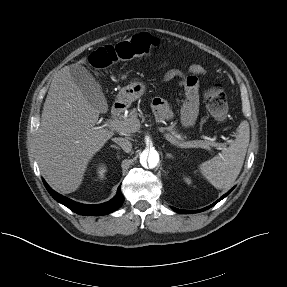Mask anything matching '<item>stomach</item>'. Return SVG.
<instances>
[{
	"mask_svg": "<svg viewBox=\"0 0 287 287\" xmlns=\"http://www.w3.org/2000/svg\"><path fill=\"white\" fill-rule=\"evenodd\" d=\"M146 90L145 84L142 82H134L123 87L119 94L118 100L127 106H130L132 102L140 98Z\"/></svg>",
	"mask_w": 287,
	"mask_h": 287,
	"instance_id": "stomach-1",
	"label": "stomach"
}]
</instances>
